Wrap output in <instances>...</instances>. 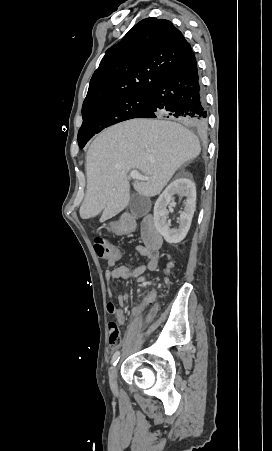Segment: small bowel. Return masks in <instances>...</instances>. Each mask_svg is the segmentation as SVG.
<instances>
[{
	"instance_id": "1",
	"label": "small bowel",
	"mask_w": 272,
	"mask_h": 451,
	"mask_svg": "<svg viewBox=\"0 0 272 451\" xmlns=\"http://www.w3.org/2000/svg\"><path fill=\"white\" fill-rule=\"evenodd\" d=\"M140 253L147 258V263L144 264L146 266V271H156L160 264V254L158 250H151L147 246L139 247ZM120 259V254L117 256H112L107 259V265L109 268L105 271V281L107 285L108 294L112 297L115 292V281L118 279H129L135 280L141 277L143 274H134L133 269H130L128 266L121 265L117 268L113 267L114 263H117ZM126 304V299L122 294H119L116 298V302L110 300L106 304V310L109 314L113 315L116 322L119 325H123L126 322L125 313L123 311V307ZM138 310H134V313H137Z\"/></svg>"
}]
</instances>
